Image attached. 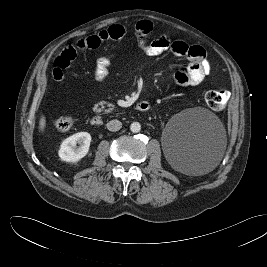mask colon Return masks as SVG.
Returning a JSON list of instances; mask_svg holds the SVG:
<instances>
[{
    "label": "colon",
    "mask_w": 267,
    "mask_h": 267,
    "mask_svg": "<svg viewBox=\"0 0 267 267\" xmlns=\"http://www.w3.org/2000/svg\"><path fill=\"white\" fill-rule=\"evenodd\" d=\"M229 100V93L226 90H210L205 94L207 105L214 111H222ZM54 126L57 130L66 132L73 126V121L70 117H58L54 120Z\"/></svg>",
    "instance_id": "obj_1"
}]
</instances>
